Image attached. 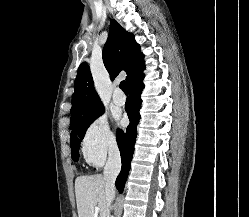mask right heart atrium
I'll return each instance as SVG.
<instances>
[{
  "instance_id": "right-heart-atrium-1",
  "label": "right heart atrium",
  "mask_w": 249,
  "mask_h": 217,
  "mask_svg": "<svg viewBox=\"0 0 249 217\" xmlns=\"http://www.w3.org/2000/svg\"><path fill=\"white\" fill-rule=\"evenodd\" d=\"M115 135L104 116L96 117L87 127L81 142L85 161L93 166H101L108 154L116 149Z\"/></svg>"
}]
</instances>
